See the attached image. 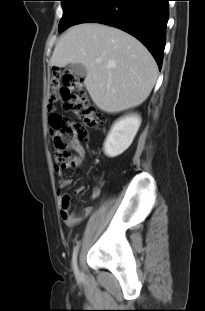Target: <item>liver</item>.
I'll return each mask as SVG.
<instances>
[{
	"mask_svg": "<svg viewBox=\"0 0 205 311\" xmlns=\"http://www.w3.org/2000/svg\"><path fill=\"white\" fill-rule=\"evenodd\" d=\"M96 59L101 61L97 63ZM76 63L87 69L84 84L92 101L107 113L142 104L158 76L157 64L142 43L100 23L75 25L56 44L51 66Z\"/></svg>",
	"mask_w": 205,
	"mask_h": 311,
	"instance_id": "6515ba94",
	"label": "liver"
}]
</instances>
